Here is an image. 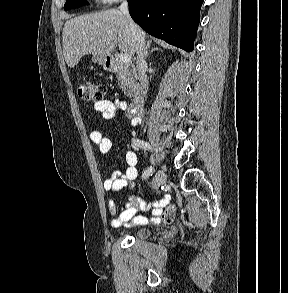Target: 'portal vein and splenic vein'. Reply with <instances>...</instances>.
I'll list each match as a JSON object with an SVG mask.
<instances>
[{"label": "portal vein and splenic vein", "instance_id": "18ae733b", "mask_svg": "<svg viewBox=\"0 0 288 293\" xmlns=\"http://www.w3.org/2000/svg\"><path fill=\"white\" fill-rule=\"evenodd\" d=\"M119 58H120V61L124 63L131 62V55L129 53H121Z\"/></svg>", "mask_w": 288, "mask_h": 293}]
</instances>
